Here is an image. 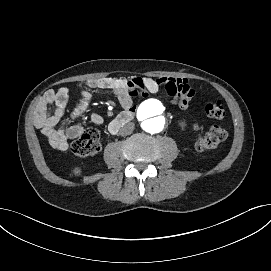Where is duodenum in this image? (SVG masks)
<instances>
[{
	"label": "duodenum",
	"instance_id": "410a0bca",
	"mask_svg": "<svg viewBox=\"0 0 271 271\" xmlns=\"http://www.w3.org/2000/svg\"><path fill=\"white\" fill-rule=\"evenodd\" d=\"M134 119V112L132 110H126L116 116L109 125V131L112 134H116L123 125L131 122Z\"/></svg>",
	"mask_w": 271,
	"mask_h": 271
}]
</instances>
